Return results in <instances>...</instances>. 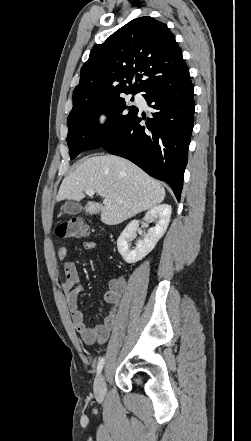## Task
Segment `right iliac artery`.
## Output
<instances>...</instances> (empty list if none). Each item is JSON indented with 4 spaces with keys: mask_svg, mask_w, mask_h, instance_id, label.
Instances as JSON below:
<instances>
[{
    "mask_svg": "<svg viewBox=\"0 0 251 441\" xmlns=\"http://www.w3.org/2000/svg\"><path fill=\"white\" fill-rule=\"evenodd\" d=\"M104 365V357H102L97 366V374H100Z\"/></svg>",
    "mask_w": 251,
    "mask_h": 441,
    "instance_id": "1",
    "label": "right iliac artery"
}]
</instances>
